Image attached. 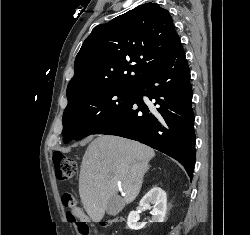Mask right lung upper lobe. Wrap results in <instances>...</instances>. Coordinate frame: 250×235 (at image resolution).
I'll return each instance as SVG.
<instances>
[{
    "label": "right lung upper lobe",
    "mask_w": 250,
    "mask_h": 235,
    "mask_svg": "<svg viewBox=\"0 0 250 235\" xmlns=\"http://www.w3.org/2000/svg\"><path fill=\"white\" fill-rule=\"evenodd\" d=\"M178 41L169 12L156 3L96 26L76 56L68 103L101 89L136 88L166 63Z\"/></svg>",
    "instance_id": "cb5924a9"
}]
</instances>
